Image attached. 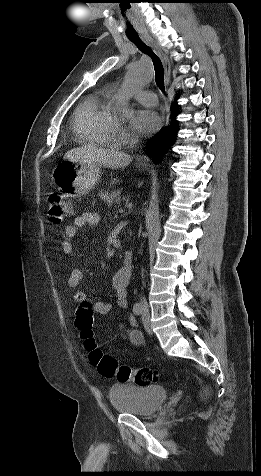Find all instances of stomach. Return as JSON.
I'll list each match as a JSON object with an SVG mask.
<instances>
[{"instance_id": "1", "label": "stomach", "mask_w": 261, "mask_h": 476, "mask_svg": "<svg viewBox=\"0 0 261 476\" xmlns=\"http://www.w3.org/2000/svg\"><path fill=\"white\" fill-rule=\"evenodd\" d=\"M54 183L63 195L81 196L90 191L101 177V166L66 160L53 170Z\"/></svg>"}]
</instances>
